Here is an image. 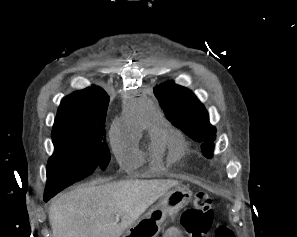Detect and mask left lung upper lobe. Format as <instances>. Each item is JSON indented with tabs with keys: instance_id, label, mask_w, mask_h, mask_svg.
Wrapping results in <instances>:
<instances>
[{
	"instance_id": "obj_1",
	"label": "left lung upper lobe",
	"mask_w": 297,
	"mask_h": 237,
	"mask_svg": "<svg viewBox=\"0 0 297 237\" xmlns=\"http://www.w3.org/2000/svg\"><path fill=\"white\" fill-rule=\"evenodd\" d=\"M154 94L172 124L193 140L201 142L202 153L212 157L216 129L209 123L205 107L191 90L172 81L156 86Z\"/></svg>"
}]
</instances>
